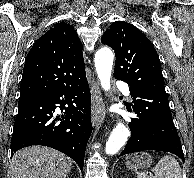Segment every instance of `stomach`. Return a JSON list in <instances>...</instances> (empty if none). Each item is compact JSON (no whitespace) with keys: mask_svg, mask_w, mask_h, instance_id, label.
I'll list each match as a JSON object with an SVG mask.
<instances>
[{"mask_svg":"<svg viewBox=\"0 0 194 178\" xmlns=\"http://www.w3.org/2000/svg\"><path fill=\"white\" fill-rule=\"evenodd\" d=\"M152 156L148 153H142L140 155H130L126 157V166L130 169H145L152 164Z\"/></svg>","mask_w":194,"mask_h":178,"instance_id":"obj_1","label":"stomach"}]
</instances>
